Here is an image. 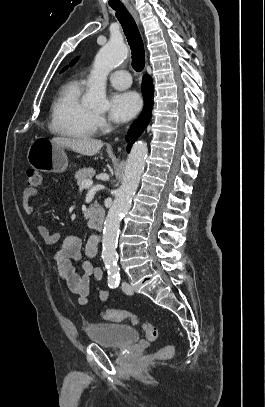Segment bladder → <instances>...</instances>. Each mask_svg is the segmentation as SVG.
Masks as SVG:
<instances>
[{"mask_svg": "<svg viewBox=\"0 0 265 407\" xmlns=\"http://www.w3.org/2000/svg\"><path fill=\"white\" fill-rule=\"evenodd\" d=\"M85 331L92 342L109 348H123L138 340L137 331L129 325L93 323L87 325Z\"/></svg>", "mask_w": 265, "mask_h": 407, "instance_id": "bladder-1", "label": "bladder"}]
</instances>
